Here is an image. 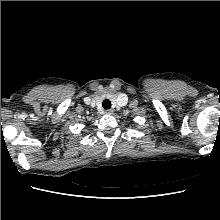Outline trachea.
Returning a JSON list of instances; mask_svg holds the SVG:
<instances>
[{"label": "trachea", "instance_id": "obj_1", "mask_svg": "<svg viewBox=\"0 0 220 220\" xmlns=\"http://www.w3.org/2000/svg\"><path fill=\"white\" fill-rule=\"evenodd\" d=\"M102 106L104 109H109L111 107V102L109 100H104Z\"/></svg>", "mask_w": 220, "mask_h": 220}]
</instances>
